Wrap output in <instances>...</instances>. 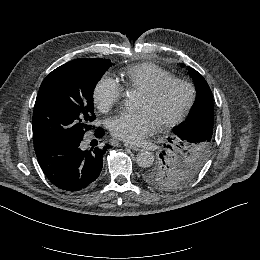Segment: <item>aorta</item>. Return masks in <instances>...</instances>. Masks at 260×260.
<instances>
[{"label":"aorta","instance_id":"1","mask_svg":"<svg viewBox=\"0 0 260 260\" xmlns=\"http://www.w3.org/2000/svg\"><path fill=\"white\" fill-rule=\"evenodd\" d=\"M125 107L128 110H133L136 108L135 99L132 97H127L125 100ZM136 162L140 167L147 168L150 167L154 162V155L147 150H142L136 155Z\"/></svg>","mask_w":260,"mask_h":260}]
</instances>
